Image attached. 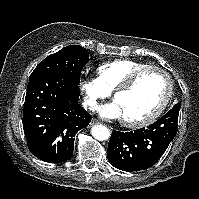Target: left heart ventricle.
<instances>
[{
    "label": "left heart ventricle",
    "mask_w": 199,
    "mask_h": 199,
    "mask_svg": "<svg viewBox=\"0 0 199 199\" xmlns=\"http://www.w3.org/2000/svg\"><path fill=\"white\" fill-rule=\"evenodd\" d=\"M167 89L166 78L161 73H146L131 90L116 97L122 119L139 120L147 117L163 101Z\"/></svg>",
    "instance_id": "left-heart-ventricle-1"
}]
</instances>
